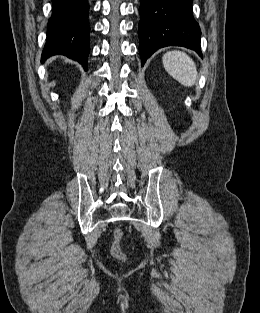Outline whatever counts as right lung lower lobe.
<instances>
[{"mask_svg": "<svg viewBox=\"0 0 260 313\" xmlns=\"http://www.w3.org/2000/svg\"><path fill=\"white\" fill-rule=\"evenodd\" d=\"M52 2V16L48 22L42 62L52 55L61 54L78 61L86 68L90 32L88 0Z\"/></svg>", "mask_w": 260, "mask_h": 313, "instance_id": "right-lung-lower-lobe-1", "label": "right lung lower lobe"}]
</instances>
